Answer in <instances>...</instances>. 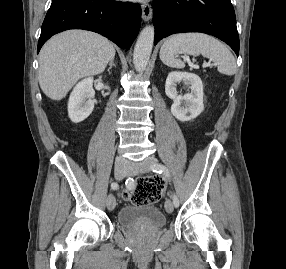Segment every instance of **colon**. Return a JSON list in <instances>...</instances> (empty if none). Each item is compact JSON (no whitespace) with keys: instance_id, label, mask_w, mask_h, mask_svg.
I'll return each instance as SVG.
<instances>
[{"instance_id":"1","label":"colon","mask_w":286,"mask_h":269,"mask_svg":"<svg viewBox=\"0 0 286 269\" xmlns=\"http://www.w3.org/2000/svg\"><path fill=\"white\" fill-rule=\"evenodd\" d=\"M162 185V180L157 177H144L138 179L134 191H123L121 195L132 203L150 205L159 198Z\"/></svg>"}]
</instances>
